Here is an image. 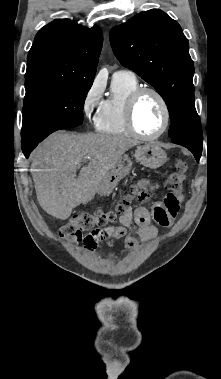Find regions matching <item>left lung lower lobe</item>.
<instances>
[{
  "label": "left lung lower lobe",
  "mask_w": 221,
  "mask_h": 379,
  "mask_svg": "<svg viewBox=\"0 0 221 379\" xmlns=\"http://www.w3.org/2000/svg\"><path fill=\"white\" fill-rule=\"evenodd\" d=\"M180 145H182V144H180ZM182 146L188 148V149L194 154L196 160L199 161V159H200V157H201V153H202V151H198V150H196V149H193V148L188 147V146H185V145H182Z\"/></svg>",
  "instance_id": "left-lung-lower-lobe-1"
}]
</instances>
